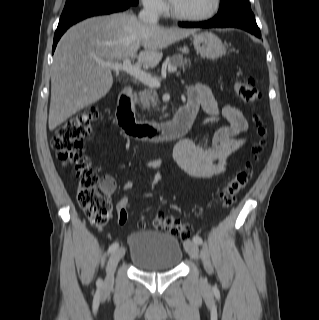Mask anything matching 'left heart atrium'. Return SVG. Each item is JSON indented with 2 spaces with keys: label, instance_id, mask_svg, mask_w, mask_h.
Returning <instances> with one entry per match:
<instances>
[{
  "label": "left heart atrium",
  "instance_id": "left-heart-atrium-1",
  "mask_svg": "<svg viewBox=\"0 0 319 320\" xmlns=\"http://www.w3.org/2000/svg\"><path fill=\"white\" fill-rule=\"evenodd\" d=\"M177 0H170L171 4L174 5Z\"/></svg>",
  "mask_w": 319,
  "mask_h": 320
}]
</instances>
